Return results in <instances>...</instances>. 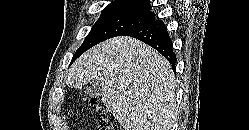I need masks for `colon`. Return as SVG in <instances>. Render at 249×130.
I'll list each match as a JSON object with an SVG mask.
<instances>
[{
	"label": "colon",
	"instance_id": "obj_1",
	"mask_svg": "<svg viewBox=\"0 0 249 130\" xmlns=\"http://www.w3.org/2000/svg\"><path fill=\"white\" fill-rule=\"evenodd\" d=\"M90 104L97 107L99 111V128L100 130H117L116 127L112 124L107 114L104 112L103 108L98 104L96 99H90Z\"/></svg>",
	"mask_w": 249,
	"mask_h": 130
}]
</instances>
